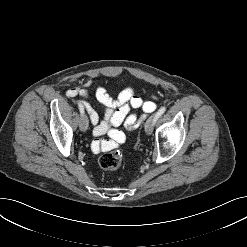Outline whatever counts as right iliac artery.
<instances>
[{
	"label": "right iliac artery",
	"instance_id": "obj_1",
	"mask_svg": "<svg viewBox=\"0 0 247 247\" xmlns=\"http://www.w3.org/2000/svg\"><path fill=\"white\" fill-rule=\"evenodd\" d=\"M78 106H79L80 113L83 115L84 114L83 106L81 104H79Z\"/></svg>",
	"mask_w": 247,
	"mask_h": 247
}]
</instances>
